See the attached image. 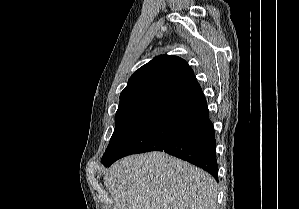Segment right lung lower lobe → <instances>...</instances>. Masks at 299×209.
I'll use <instances>...</instances> for the list:
<instances>
[{"instance_id": "98d812e1", "label": "right lung lower lobe", "mask_w": 299, "mask_h": 209, "mask_svg": "<svg viewBox=\"0 0 299 209\" xmlns=\"http://www.w3.org/2000/svg\"><path fill=\"white\" fill-rule=\"evenodd\" d=\"M213 124L196 79L174 92L152 113L145 124L106 167L130 154L165 151L188 161L218 180Z\"/></svg>"}]
</instances>
